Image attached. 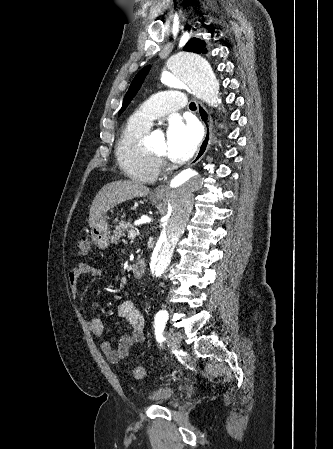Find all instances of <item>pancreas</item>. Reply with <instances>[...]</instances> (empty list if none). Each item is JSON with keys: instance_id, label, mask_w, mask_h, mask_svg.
Wrapping results in <instances>:
<instances>
[{"instance_id": "obj_1", "label": "pancreas", "mask_w": 333, "mask_h": 449, "mask_svg": "<svg viewBox=\"0 0 333 449\" xmlns=\"http://www.w3.org/2000/svg\"><path fill=\"white\" fill-rule=\"evenodd\" d=\"M130 228H132V225L129 222L120 221L113 231L112 243L117 244L120 238L125 236V232Z\"/></svg>"}]
</instances>
